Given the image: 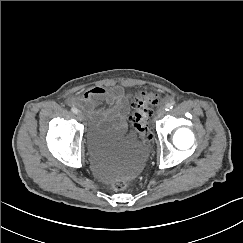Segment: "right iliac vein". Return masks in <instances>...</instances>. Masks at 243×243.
Returning <instances> with one entry per match:
<instances>
[{"mask_svg": "<svg viewBox=\"0 0 243 243\" xmlns=\"http://www.w3.org/2000/svg\"><path fill=\"white\" fill-rule=\"evenodd\" d=\"M77 116H78L79 120H83L84 119V115H83L82 112H78Z\"/></svg>", "mask_w": 243, "mask_h": 243, "instance_id": "right-iliac-vein-1", "label": "right iliac vein"}]
</instances>
